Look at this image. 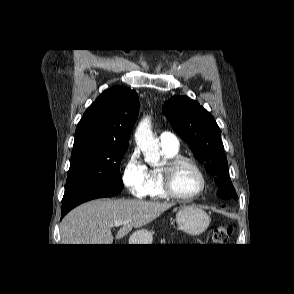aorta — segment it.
Returning a JSON list of instances; mask_svg holds the SVG:
<instances>
[{
  "label": "aorta",
  "mask_w": 294,
  "mask_h": 294,
  "mask_svg": "<svg viewBox=\"0 0 294 294\" xmlns=\"http://www.w3.org/2000/svg\"><path fill=\"white\" fill-rule=\"evenodd\" d=\"M135 140L142 151L145 161L151 165H158L160 160V148L158 140L152 132L151 120L144 118L138 125L135 132Z\"/></svg>",
  "instance_id": "obj_1"
}]
</instances>
